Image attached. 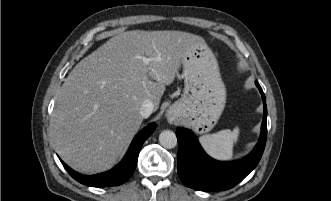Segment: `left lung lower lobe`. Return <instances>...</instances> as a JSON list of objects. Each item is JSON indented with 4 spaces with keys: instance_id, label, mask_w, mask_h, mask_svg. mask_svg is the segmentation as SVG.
Here are the masks:
<instances>
[{
    "instance_id": "1",
    "label": "left lung lower lobe",
    "mask_w": 331,
    "mask_h": 201,
    "mask_svg": "<svg viewBox=\"0 0 331 201\" xmlns=\"http://www.w3.org/2000/svg\"><path fill=\"white\" fill-rule=\"evenodd\" d=\"M256 86L262 94L264 104L261 135L254 150L245 158L235 162L216 161L206 155L190 130L177 129V171L184 185L201 191L226 190L241 182L257 166L266 144L267 108L263 90L258 82H256Z\"/></svg>"
}]
</instances>
